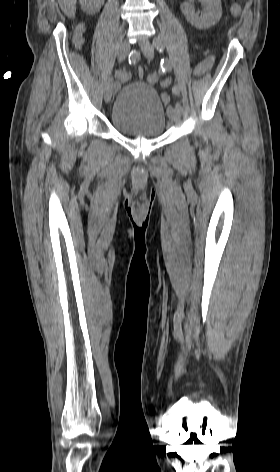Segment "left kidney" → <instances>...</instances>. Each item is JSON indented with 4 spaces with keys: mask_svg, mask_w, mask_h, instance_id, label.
Listing matches in <instances>:
<instances>
[{
    "mask_svg": "<svg viewBox=\"0 0 280 472\" xmlns=\"http://www.w3.org/2000/svg\"><path fill=\"white\" fill-rule=\"evenodd\" d=\"M205 7L202 15L195 13V8L189 3L181 7L186 19L197 29H205L216 24L222 15L221 0H199Z\"/></svg>",
    "mask_w": 280,
    "mask_h": 472,
    "instance_id": "1",
    "label": "left kidney"
}]
</instances>
